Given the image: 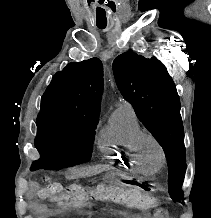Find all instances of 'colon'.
<instances>
[{
    "label": "colon",
    "mask_w": 211,
    "mask_h": 218,
    "mask_svg": "<svg viewBox=\"0 0 211 218\" xmlns=\"http://www.w3.org/2000/svg\"><path fill=\"white\" fill-rule=\"evenodd\" d=\"M44 198L54 202L82 203L88 199L111 201L125 206L148 209L158 205V199L149 189L138 185H107L94 187L71 184L63 186L47 179L46 186L41 189Z\"/></svg>",
    "instance_id": "5ec220e1"
}]
</instances>
